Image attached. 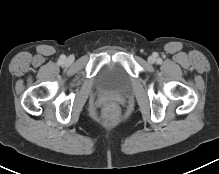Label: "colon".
Masks as SVG:
<instances>
[{
  "mask_svg": "<svg viewBox=\"0 0 219 174\" xmlns=\"http://www.w3.org/2000/svg\"><path fill=\"white\" fill-rule=\"evenodd\" d=\"M120 115V108L115 102H108L103 107V117L108 122H115Z\"/></svg>",
  "mask_w": 219,
  "mask_h": 174,
  "instance_id": "1",
  "label": "colon"
}]
</instances>
